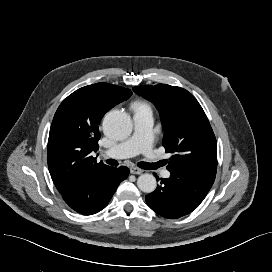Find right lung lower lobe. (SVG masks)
I'll return each instance as SVG.
<instances>
[{"instance_id":"98d812e1","label":"right lung lower lobe","mask_w":272,"mask_h":272,"mask_svg":"<svg viewBox=\"0 0 272 272\" xmlns=\"http://www.w3.org/2000/svg\"><path fill=\"white\" fill-rule=\"evenodd\" d=\"M128 174L129 169L125 166L109 168L103 174L85 182L78 191L64 195L63 199L80 214H95L106 207L118 185Z\"/></svg>"}]
</instances>
